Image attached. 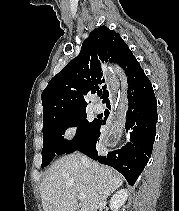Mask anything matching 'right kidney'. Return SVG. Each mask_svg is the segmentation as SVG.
Returning a JSON list of instances; mask_svg holds the SVG:
<instances>
[{
  "instance_id": "right-kidney-1",
  "label": "right kidney",
  "mask_w": 179,
  "mask_h": 211,
  "mask_svg": "<svg viewBox=\"0 0 179 211\" xmlns=\"http://www.w3.org/2000/svg\"><path fill=\"white\" fill-rule=\"evenodd\" d=\"M128 198V191L126 189H121L117 191L110 200V208L112 211H118V209L124 205Z\"/></svg>"
}]
</instances>
